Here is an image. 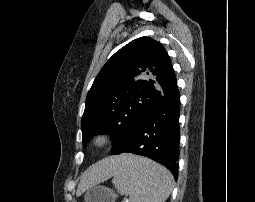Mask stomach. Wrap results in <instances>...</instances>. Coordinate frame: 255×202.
<instances>
[{"label":"stomach","mask_w":255,"mask_h":202,"mask_svg":"<svg viewBox=\"0 0 255 202\" xmlns=\"http://www.w3.org/2000/svg\"><path fill=\"white\" fill-rule=\"evenodd\" d=\"M116 194L109 188L94 185L87 189L84 200L85 202H115Z\"/></svg>","instance_id":"1"}]
</instances>
